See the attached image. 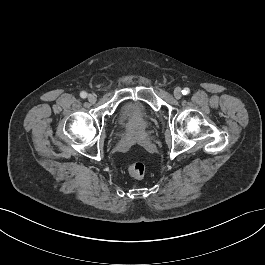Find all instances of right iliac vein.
Masks as SVG:
<instances>
[{
  "label": "right iliac vein",
  "mask_w": 265,
  "mask_h": 265,
  "mask_svg": "<svg viewBox=\"0 0 265 265\" xmlns=\"http://www.w3.org/2000/svg\"><path fill=\"white\" fill-rule=\"evenodd\" d=\"M88 101H89L90 103H95V102H96V97H95V95L90 94V95L88 96Z\"/></svg>",
  "instance_id": "obj_1"
}]
</instances>
